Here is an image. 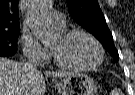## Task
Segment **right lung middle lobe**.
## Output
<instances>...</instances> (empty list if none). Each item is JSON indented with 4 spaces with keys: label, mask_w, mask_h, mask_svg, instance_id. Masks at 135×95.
Returning a JSON list of instances; mask_svg holds the SVG:
<instances>
[{
    "label": "right lung middle lobe",
    "mask_w": 135,
    "mask_h": 95,
    "mask_svg": "<svg viewBox=\"0 0 135 95\" xmlns=\"http://www.w3.org/2000/svg\"><path fill=\"white\" fill-rule=\"evenodd\" d=\"M19 30L0 32V55H12L17 51Z\"/></svg>",
    "instance_id": "1"
}]
</instances>
